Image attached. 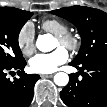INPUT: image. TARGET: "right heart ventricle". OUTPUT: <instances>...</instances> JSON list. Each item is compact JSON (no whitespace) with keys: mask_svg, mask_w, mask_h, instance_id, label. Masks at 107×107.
<instances>
[{"mask_svg":"<svg viewBox=\"0 0 107 107\" xmlns=\"http://www.w3.org/2000/svg\"><path fill=\"white\" fill-rule=\"evenodd\" d=\"M44 31L53 34L54 36L63 34L69 30L68 25L60 19H47L41 24Z\"/></svg>","mask_w":107,"mask_h":107,"instance_id":"right-heart-ventricle-1","label":"right heart ventricle"}]
</instances>
